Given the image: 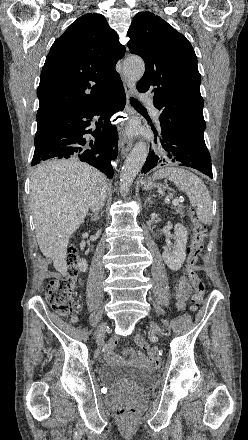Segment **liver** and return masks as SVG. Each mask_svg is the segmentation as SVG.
Masks as SVG:
<instances>
[{
    "instance_id": "1",
    "label": "liver",
    "mask_w": 248,
    "mask_h": 440,
    "mask_svg": "<svg viewBox=\"0 0 248 440\" xmlns=\"http://www.w3.org/2000/svg\"><path fill=\"white\" fill-rule=\"evenodd\" d=\"M104 175L76 158L53 159L31 175L30 206L39 248L61 274L67 272L71 235L83 223Z\"/></svg>"
}]
</instances>
